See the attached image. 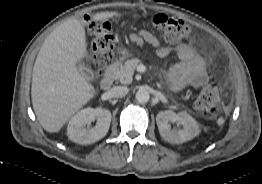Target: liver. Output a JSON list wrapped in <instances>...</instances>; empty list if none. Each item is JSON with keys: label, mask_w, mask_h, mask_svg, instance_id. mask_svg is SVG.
<instances>
[{"label": "liver", "mask_w": 262, "mask_h": 184, "mask_svg": "<svg viewBox=\"0 0 262 184\" xmlns=\"http://www.w3.org/2000/svg\"><path fill=\"white\" fill-rule=\"evenodd\" d=\"M118 12H99L93 21H104ZM87 55L85 29L78 19H68L45 39L34 64L31 97L36 117L50 133L60 131L96 93L77 69Z\"/></svg>", "instance_id": "obj_1"}]
</instances>
